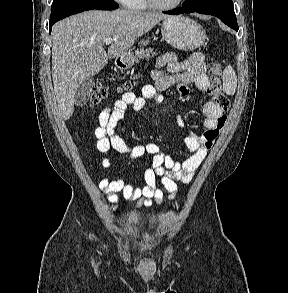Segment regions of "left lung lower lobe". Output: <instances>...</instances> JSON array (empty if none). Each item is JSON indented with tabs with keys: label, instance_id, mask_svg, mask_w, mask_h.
I'll list each match as a JSON object with an SVG mask.
<instances>
[{
	"label": "left lung lower lobe",
	"instance_id": "left-lung-lower-lobe-1",
	"mask_svg": "<svg viewBox=\"0 0 288 293\" xmlns=\"http://www.w3.org/2000/svg\"><path fill=\"white\" fill-rule=\"evenodd\" d=\"M201 13V14H208V15H213L218 17L222 22H224L226 25L231 27L232 29L238 31L239 27L237 24L236 16L228 15L226 13L217 11V10H212V9H198V8H192V7H180L176 8L171 11L164 12L166 14H171V15H178V14H183V13Z\"/></svg>",
	"mask_w": 288,
	"mask_h": 293
}]
</instances>
